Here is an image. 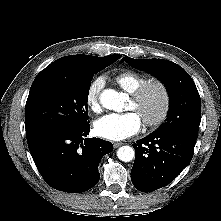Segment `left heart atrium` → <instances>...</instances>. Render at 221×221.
Listing matches in <instances>:
<instances>
[{"instance_id":"39dd6f15","label":"left heart atrium","mask_w":221,"mask_h":221,"mask_svg":"<svg viewBox=\"0 0 221 221\" xmlns=\"http://www.w3.org/2000/svg\"><path fill=\"white\" fill-rule=\"evenodd\" d=\"M141 128V118L134 111L117 114L110 113L99 118L94 126L98 136L119 141L136 134Z\"/></svg>"}]
</instances>
